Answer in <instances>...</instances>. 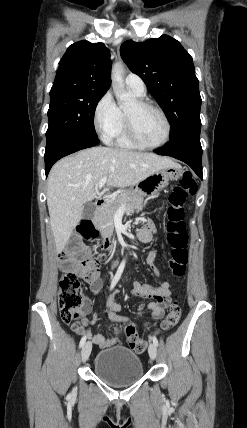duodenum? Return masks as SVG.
<instances>
[{
    "label": "duodenum",
    "instance_id": "1",
    "mask_svg": "<svg viewBox=\"0 0 247 428\" xmlns=\"http://www.w3.org/2000/svg\"><path fill=\"white\" fill-rule=\"evenodd\" d=\"M95 203L98 207H101L102 205L105 204V199L103 197L98 198ZM115 246H116V243L111 239H105L104 242L102 243V248L105 250H111L115 248Z\"/></svg>",
    "mask_w": 247,
    "mask_h": 428
}]
</instances>
